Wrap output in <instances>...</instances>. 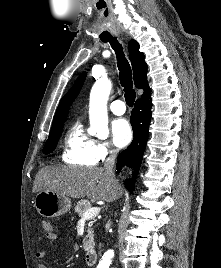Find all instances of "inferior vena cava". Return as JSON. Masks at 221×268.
<instances>
[{"mask_svg":"<svg viewBox=\"0 0 221 268\" xmlns=\"http://www.w3.org/2000/svg\"><path fill=\"white\" fill-rule=\"evenodd\" d=\"M117 153H118L117 149L110 150L109 156L104 163V169L106 173L109 174L111 177H114L113 167L115 164Z\"/></svg>","mask_w":221,"mask_h":268,"instance_id":"1","label":"inferior vena cava"}]
</instances>
